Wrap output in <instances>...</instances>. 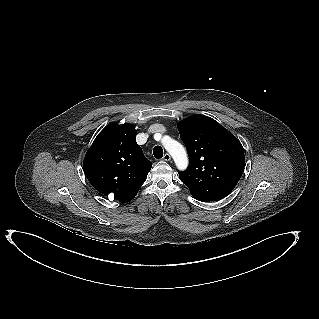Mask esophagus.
<instances>
[{"label":"esophagus","mask_w":319,"mask_h":319,"mask_svg":"<svg viewBox=\"0 0 319 319\" xmlns=\"http://www.w3.org/2000/svg\"><path fill=\"white\" fill-rule=\"evenodd\" d=\"M163 160L164 161H170L171 160V156L169 153H165L164 156H163Z\"/></svg>","instance_id":"1"}]
</instances>
